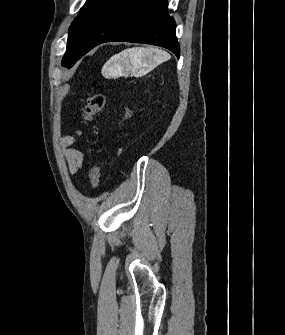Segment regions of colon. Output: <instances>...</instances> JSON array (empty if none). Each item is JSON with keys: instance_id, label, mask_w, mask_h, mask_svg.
<instances>
[{"instance_id": "5ec220e1", "label": "colon", "mask_w": 285, "mask_h": 335, "mask_svg": "<svg viewBox=\"0 0 285 335\" xmlns=\"http://www.w3.org/2000/svg\"><path fill=\"white\" fill-rule=\"evenodd\" d=\"M105 104V96L101 93H94L84 99L83 117L87 122H93L101 112ZM90 180L94 190L101 184L100 169L96 162H93L90 169Z\"/></svg>"}]
</instances>
